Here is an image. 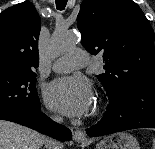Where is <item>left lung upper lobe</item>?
Masks as SVG:
<instances>
[{
  "mask_svg": "<svg viewBox=\"0 0 155 149\" xmlns=\"http://www.w3.org/2000/svg\"><path fill=\"white\" fill-rule=\"evenodd\" d=\"M82 45L103 54L98 79L108 96L127 86L155 80L154 31L132 0H84L77 16Z\"/></svg>",
  "mask_w": 155,
  "mask_h": 149,
  "instance_id": "5c2ea615",
  "label": "left lung upper lobe"
}]
</instances>
